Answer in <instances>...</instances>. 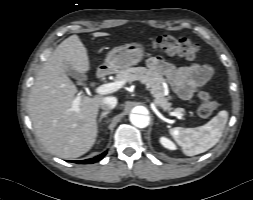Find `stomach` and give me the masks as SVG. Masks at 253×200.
Returning a JSON list of instances; mask_svg holds the SVG:
<instances>
[{
  "label": "stomach",
  "mask_w": 253,
  "mask_h": 200,
  "mask_svg": "<svg viewBox=\"0 0 253 200\" xmlns=\"http://www.w3.org/2000/svg\"><path fill=\"white\" fill-rule=\"evenodd\" d=\"M143 56L144 50L140 43L125 44L109 51L103 66L110 72H119L137 65Z\"/></svg>",
  "instance_id": "0dacf381"
}]
</instances>
